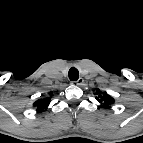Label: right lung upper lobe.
<instances>
[{"label":"right lung upper lobe","mask_w":143,"mask_h":143,"mask_svg":"<svg viewBox=\"0 0 143 143\" xmlns=\"http://www.w3.org/2000/svg\"><path fill=\"white\" fill-rule=\"evenodd\" d=\"M51 94L52 93H50V95ZM50 100H51V96L46 97L44 99H39L33 105L37 107L38 112H42L47 109V107L49 106Z\"/></svg>","instance_id":"obj_1"}]
</instances>
